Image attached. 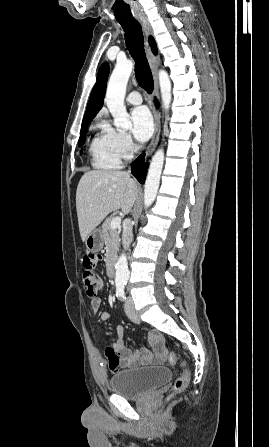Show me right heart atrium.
<instances>
[{"label":"right heart atrium","instance_id":"d8ad5b80","mask_svg":"<svg viewBox=\"0 0 269 447\" xmlns=\"http://www.w3.org/2000/svg\"><path fill=\"white\" fill-rule=\"evenodd\" d=\"M107 130L114 136L116 149L119 155L124 159L130 158L135 152V143L130 134L118 129L109 128Z\"/></svg>","mask_w":269,"mask_h":447}]
</instances>
